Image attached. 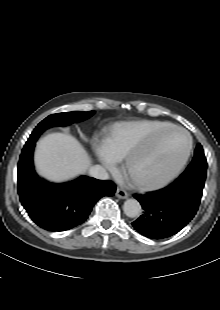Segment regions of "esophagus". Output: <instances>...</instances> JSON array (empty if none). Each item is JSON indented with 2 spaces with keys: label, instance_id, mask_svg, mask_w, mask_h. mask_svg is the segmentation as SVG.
Returning <instances> with one entry per match:
<instances>
[{
  "label": "esophagus",
  "instance_id": "34e87169",
  "mask_svg": "<svg viewBox=\"0 0 220 310\" xmlns=\"http://www.w3.org/2000/svg\"><path fill=\"white\" fill-rule=\"evenodd\" d=\"M115 195L120 199H126L129 196V194L122 188H117Z\"/></svg>",
  "mask_w": 220,
  "mask_h": 310
}]
</instances>
